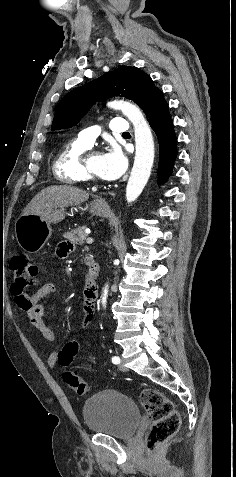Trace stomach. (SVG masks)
<instances>
[{
    "label": "stomach",
    "mask_w": 236,
    "mask_h": 477,
    "mask_svg": "<svg viewBox=\"0 0 236 477\" xmlns=\"http://www.w3.org/2000/svg\"><path fill=\"white\" fill-rule=\"evenodd\" d=\"M81 210H89L91 214L103 217H108L111 213L102 200H94ZM65 215L64 208L50 210L44 215H21L15 223V236L19 246L30 254L39 252L53 233L51 225L62 221Z\"/></svg>",
    "instance_id": "stomach-1"
}]
</instances>
